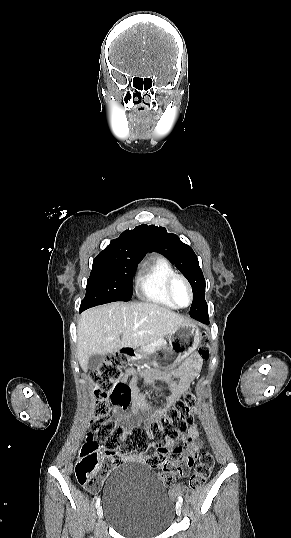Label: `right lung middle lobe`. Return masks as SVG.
I'll return each instance as SVG.
<instances>
[{
	"label": "right lung middle lobe",
	"mask_w": 291,
	"mask_h": 538,
	"mask_svg": "<svg viewBox=\"0 0 291 538\" xmlns=\"http://www.w3.org/2000/svg\"><path fill=\"white\" fill-rule=\"evenodd\" d=\"M140 261L128 257L97 256L93 261L80 312L109 302L129 301L133 293V274Z\"/></svg>",
	"instance_id": "dd1d6c3e"
}]
</instances>
